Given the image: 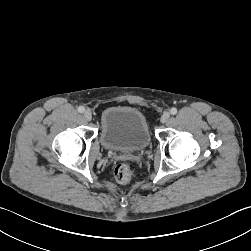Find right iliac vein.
Returning a JSON list of instances; mask_svg holds the SVG:
<instances>
[{
    "mask_svg": "<svg viewBox=\"0 0 251 251\" xmlns=\"http://www.w3.org/2000/svg\"><path fill=\"white\" fill-rule=\"evenodd\" d=\"M84 117L86 120L90 121L92 119V112L91 110L87 109L84 111Z\"/></svg>",
    "mask_w": 251,
    "mask_h": 251,
    "instance_id": "63e3f726",
    "label": "right iliac vein"
}]
</instances>
